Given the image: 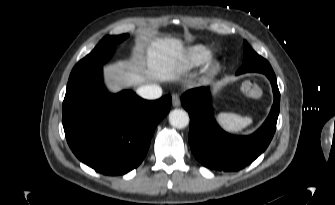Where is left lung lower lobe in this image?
Instances as JSON below:
<instances>
[{"label":"left lung lower lobe","mask_w":335,"mask_h":205,"mask_svg":"<svg viewBox=\"0 0 335 205\" xmlns=\"http://www.w3.org/2000/svg\"><path fill=\"white\" fill-rule=\"evenodd\" d=\"M265 75L272 85L274 103L263 125L249 136L231 135L219 127L213 117L208 88L192 89L182 95L181 103L190 117L188 141L191 151L205 167L238 171L252 163L268 147L276 130L280 92L275 74Z\"/></svg>","instance_id":"0a47b994"}]
</instances>
